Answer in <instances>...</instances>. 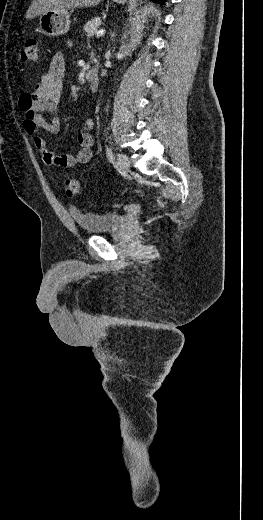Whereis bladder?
I'll use <instances>...</instances> for the list:
<instances>
[{
  "label": "bladder",
  "instance_id": "31cf9c89",
  "mask_svg": "<svg viewBox=\"0 0 263 520\" xmlns=\"http://www.w3.org/2000/svg\"><path fill=\"white\" fill-rule=\"evenodd\" d=\"M74 220L87 234L116 232L127 224V217L120 213H77L74 215Z\"/></svg>",
  "mask_w": 263,
  "mask_h": 520
}]
</instances>
